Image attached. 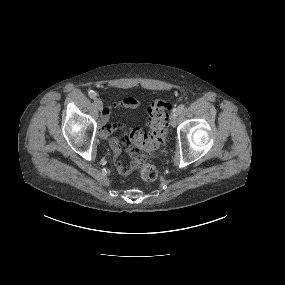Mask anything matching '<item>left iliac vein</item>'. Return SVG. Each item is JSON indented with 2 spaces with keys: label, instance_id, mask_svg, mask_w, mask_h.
<instances>
[{
  "label": "left iliac vein",
  "instance_id": "left-iliac-vein-1",
  "mask_svg": "<svg viewBox=\"0 0 285 285\" xmlns=\"http://www.w3.org/2000/svg\"><path fill=\"white\" fill-rule=\"evenodd\" d=\"M178 113L173 111L172 114H171V117H170V124L171 126H176V122H177V117H178Z\"/></svg>",
  "mask_w": 285,
  "mask_h": 285
}]
</instances>
